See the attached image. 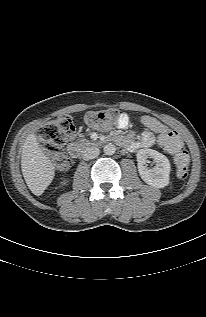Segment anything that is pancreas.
I'll return each instance as SVG.
<instances>
[{"instance_id": "obj_1", "label": "pancreas", "mask_w": 206, "mask_h": 317, "mask_svg": "<svg viewBox=\"0 0 206 317\" xmlns=\"http://www.w3.org/2000/svg\"><path fill=\"white\" fill-rule=\"evenodd\" d=\"M84 141H86V140H85V139H82V140H81V142H84Z\"/></svg>"}]
</instances>
